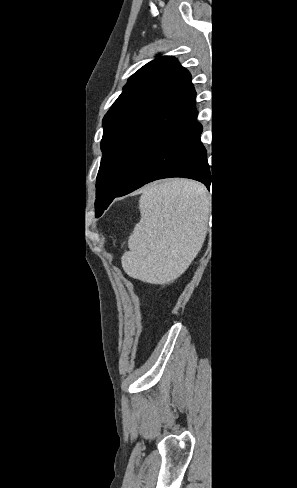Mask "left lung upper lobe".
Listing matches in <instances>:
<instances>
[{
  "label": "left lung upper lobe",
  "instance_id": "1",
  "mask_svg": "<svg viewBox=\"0 0 297 488\" xmlns=\"http://www.w3.org/2000/svg\"><path fill=\"white\" fill-rule=\"evenodd\" d=\"M195 97L190 73L171 56L152 60L129 77L103 118L96 215L155 151L196 119Z\"/></svg>",
  "mask_w": 297,
  "mask_h": 488
}]
</instances>
